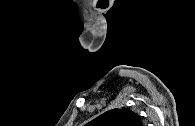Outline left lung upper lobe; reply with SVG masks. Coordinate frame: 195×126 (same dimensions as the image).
<instances>
[{
	"mask_svg": "<svg viewBox=\"0 0 195 126\" xmlns=\"http://www.w3.org/2000/svg\"><path fill=\"white\" fill-rule=\"evenodd\" d=\"M87 126H143L140 116L128 109H112L92 120Z\"/></svg>",
	"mask_w": 195,
	"mask_h": 126,
	"instance_id": "1",
	"label": "left lung upper lobe"
}]
</instances>
